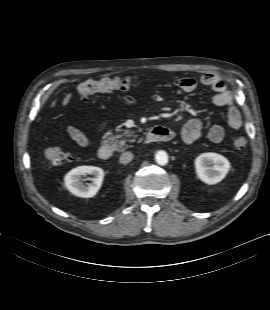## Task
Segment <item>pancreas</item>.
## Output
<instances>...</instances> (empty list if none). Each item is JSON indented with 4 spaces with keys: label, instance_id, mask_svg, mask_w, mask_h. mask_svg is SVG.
<instances>
[{
    "label": "pancreas",
    "instance_id": "1",
    "mask_svg": "<svg viewBox=\"0 0 270 310\" xmlns=\"http://www.w3.org/2000/svg\"><path fill=\"white\" fill-rule=\"evenodd\" d=\"M117 131L120 132L121 130L118 129ZM133 134L134 132L130 130H124L121 134L117 135H113V133L108 132L104 135V139H106L104 142L110 143L113 150L121 151L126 142L135 141V139H125L122 137H131ZM120 138L121 140H118Z\"/></svg>",
    "mask_w": 270,
    "mask_h": 310
}]
</instances>
